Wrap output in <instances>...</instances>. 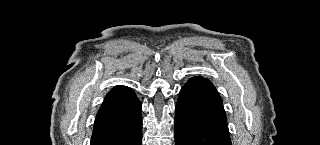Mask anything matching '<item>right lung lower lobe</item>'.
Instances as JSON below:
<instances>
[{"mask_svg": "<svg viewBox=\"0 0 320 145\" xmlns=\"http://www.w3.org/2000/svg\"><path fill=\"white\" fill-rule=\"evenodd\" d=\"M141 103L133 90L116 86L106 95L94 122L91 145H141Z\"/></svg>", "mask_w": 320, "mask_h": 145, "instance_id": "1", "label": "right lung lower lobe"}]
</instances>
